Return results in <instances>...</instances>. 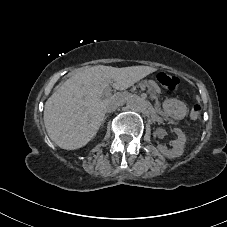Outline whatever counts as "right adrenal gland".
Instances as JSON below:
<instances>
[{"mask_svg": "<svg viewBox=\"0 0 227 227\" xmlns=\"http://www.w3.org/2000/svg\"><path fill=\"white\" fill-rule=\"evenodd\" d=\"M107 117H108V116H105L104 121H103V123H102V124H104V122L106 121Z\"/></svg>", "mask_w": 227, "mask_h": 227, "instance_id": "obj_1", "label": "right adrenal gland"}]
</instances>
